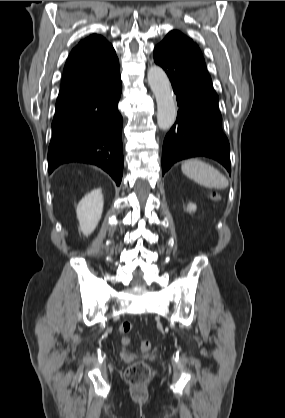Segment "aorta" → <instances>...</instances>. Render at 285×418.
<instances>
[{
  "label": "aorta",
  "instance_id": "1",
  "mask_svg": "<svg viewBox=\"0 0 285 418\" xmlns=\"http://www.w3.org/2000/svg\"><path fill=\"white\" fill-rule=\"evenodd\" d=\"M149 86L157 102V123L160 129L172 127L177 116L174 93L170 81L162 68L151 66L147 72Z\"/></svg>",
  "mask_w": 285,
  "mask_h": 418
}]
</instances>
